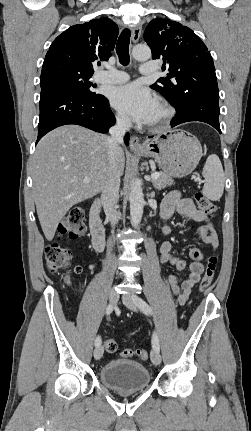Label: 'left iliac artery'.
I'll return each instance as SVG.
<instances>
[{"instance_id": "obj_1", "label": "left iliac artery", "mask_w": 251, "mask_h": 431, "mask_svg": "<svg viewBox=\"0 0 251 431\" xmlns=\"http://www.w3.org/2000/svg\"><path fill=\"white\" fill-rule=\"evenodd\" d=\"M136 303L137 306L145 313L148 315H152V309L151 307L140 297L137 296L136 298ZM152 347L155 350H160V346H159V339L158 336L156 334V332L153 333L152 336Z\"/></svg>"}]
</instances>
